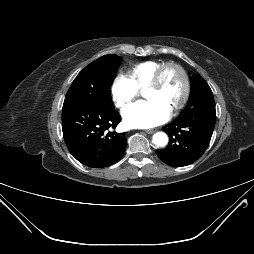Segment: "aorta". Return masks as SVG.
Instances as JSON below:
<instances>
[{"label":"aorta","instance_id":"762f6f07","mask_svg":"<svg viewBox=\"0 0 254 254\" xmlns=\"http://www.w3.org/2000/svg\"><path fill=\"white\" fill-rule=\"evenodd\" d=\"M152 141L157 147H164L168 143V136L164 132H157L153 135Z\"/></svg>","mask_w":254,"mask_h":254}]
</instances>
